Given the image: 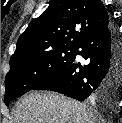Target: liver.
Masks as SVG:
<instances>
[{"instance_id":"obj_1","label":"liver","mask_w":122,"mask_h":123,"mask_svg":"<svg viewBox=\"0 0 122 123\" xmlns=\"http://www.w3.org/2000/svg\"><path fill=\"white\" fill-rule=\"evenodd\" d=\"M99 114L85 103L50 91H34L20 99L11 123H97Z\"/></svg>"}]
</instances>
